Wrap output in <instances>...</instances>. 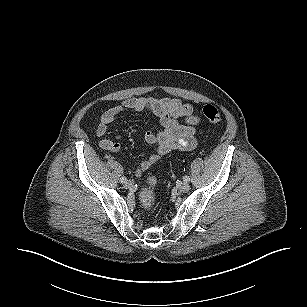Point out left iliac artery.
<instances>
[{
  "mask_svg": "<svg viewBox=\"0 0 307 307\" xmlns=\"http://www.w3.org/2000/svg\"><path fill=\"white\" fill-rule=\"evenodd\" d=\"M183 180H184V182H189V181H190V178H189V176H184V177H183Z\"/></svg>",
  "mask_w": 307,
  "mask_h": 307,
  "instance_id": "44dca946",
  "label": "left iliac artery"
}]
</instances>
